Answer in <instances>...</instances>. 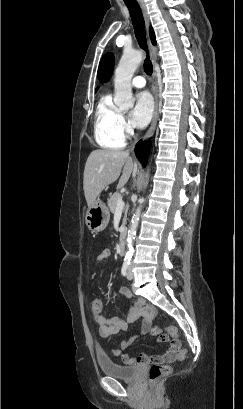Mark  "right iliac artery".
Returning <instances> with one entry per match:
<instances>
[{
    "mask_svg": "<svg viewBox=\"0 0 243 409\" xmlns=\"http://www.w3.org/2000/svg\"><path fill=\"white\" fill-rule=\"evenodd\" d=\"M130 265V259H125L121 268V272L123 276L127 275V270Z\"/></svg>",
    "mask_w": 243,
    "mask_h": 409,
    "instance_id": "82829eb1",
    "label": "right iliac artery"
}]
</instances>
